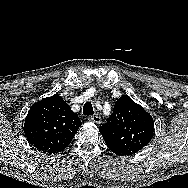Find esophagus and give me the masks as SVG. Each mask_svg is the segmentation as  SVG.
Segmentation results:
<instances>
[{"label":"esophagus","mask_w":188,"mask_h":188,"mask_svg":"<svg viewBox=\"0 0 188 188\" xmlns=\"http://www.w3.org/2000/svg\"><path fill=\"white\" fill-rule=\"evenodd\" d=\"M88 120L91 121V122H94L96 124H100L101 123V117L98 116V115L90 116L88 118Z\"/></svg>","instance_id":"obj_1"}]
</instances>
